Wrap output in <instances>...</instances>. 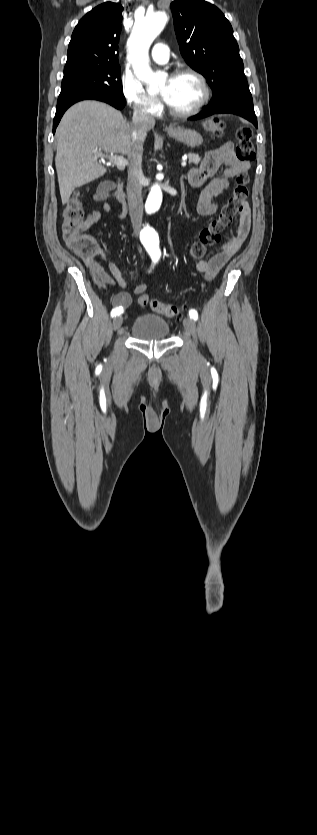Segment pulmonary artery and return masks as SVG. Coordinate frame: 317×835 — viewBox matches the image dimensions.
<instances>
[{
	"mask_svg": "<svg viewBox=\"0 0 317 835\" xmlns=\"http://www.w3.org/2000/svg\"><path fill=\"white\" fill-rule=\"evenodd\" d=\"M152 59L157 63H166L169 59V48L164 43H156L151 51Z\"/></svg>",
	"mask_w": 317,
	"mask_h": 835,
	"instance_id": "obj_1",
	"label": "pulmonary artery"
}]
</instances>
